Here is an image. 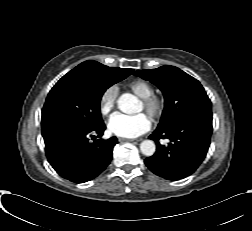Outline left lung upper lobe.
Returning <instances> with one entry per match:
<instances>
[{"label":"left lung upper lobe","instance_id":"5c2ea615","mask_svg":"<svg viewBox=\"0 0 252 231\" xmlns=\"http://www.w3.org/2000/svg\"><path fill=\"white\" fill-rule=\"evenodd\" d=\"M135 75L150 80L163 92L165 106L156 130H163L187 115H212L211 101L200 82L179 68L165 65L136 71Z\"/></svg>","mask_w":252,"mask_h":231}]
</instances>
